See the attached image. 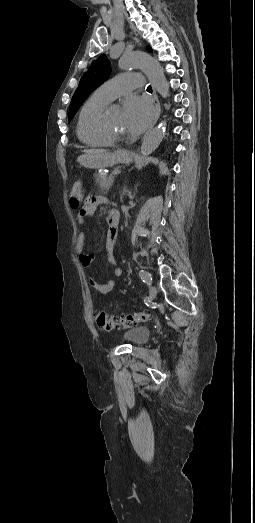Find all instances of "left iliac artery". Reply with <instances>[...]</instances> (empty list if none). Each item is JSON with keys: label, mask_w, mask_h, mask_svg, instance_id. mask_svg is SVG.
Listing matches in <instances>:
<instances>
[{"label": "left iliac artery", "mask_w": 255, "mask_h": 523, "mask_svg": "<svg viewBox=\"0 0 255 523\" xmlns=\"http://www.w3.org/2000/svg\"><path fill=\"white\" fill-rule=\"evenodd\" d=\"M139 276H140V278L142 279V281H143L144 283L149 284V280H148V278H147L146 273H145L144 270H140V271H139Z\"/></svg>", "instance_id": "obj_1"}]
</instances>
